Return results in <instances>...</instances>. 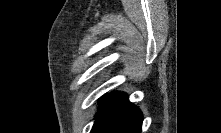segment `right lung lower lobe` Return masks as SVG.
<instances>
[{
    "mask_svg": "<svg viewBox=\"0 0 221 133\" xmlns=\"http://www.w3.org/2000/svg\"><path fill=\"white\" fill-rule=\"evenodd\" d=\"M95 133H141L142 113L129 102L127 95L112 93L100 101Z\"/></svg>",
    "mask_w": 221,
    "mask_h": 133,
    "instance_id": "1",
    "label": "right lung lower lobe"
}]
</instances>
